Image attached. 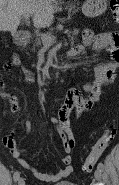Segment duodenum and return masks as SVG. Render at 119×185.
<instances>
[{
  "mask_svg": "<svg viewBox=\"0 0 119 185\" xmlns=\"http://www.w3.org/2000/svg\"><path fill=\"white\" fill-rule=\"evenodd\" d=\"M14 39L17 45H23L26 43L27 39H28V32L25 30H18L14 33ZM79 54V50L77 48H75L74 50L70 51L66 57L65 60H69L74 58L75 56H77Z\"/></svg>",
  "mask_w": 119,
  "mask_h": 185,
  "instance_id": "410a0bca",
  "label": "duodenum"
}]
</instances>
